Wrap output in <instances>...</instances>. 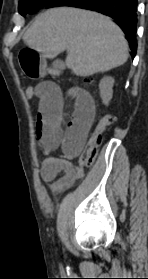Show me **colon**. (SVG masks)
<instances>
[{"mask_svg":"<svg viewBox=\"0 0 148 279\" xmlns=\"http://www.w3.org/2000/svg\"><path fill=\"white\" fill-rule=\"evenodd\" d=\"M93 81H94L93 78L85 79V82L89 84L93 83ZM34 93H35L34 86L29 85L25 88V94L28 98H33ZM115 120H116L115 116L111 113H107L104 116H102V118L99 120L95 128L92 137L86 144V147L84 148L78 160L79 167L84 169L90 167L93 164L97 156L98 149L102 143L103 133L110 125H112L115 122Z\"/></svg>","mask_w":148,"mask_h":279,"instance_id":"obj_1","label":"colon"}]
</instances>
